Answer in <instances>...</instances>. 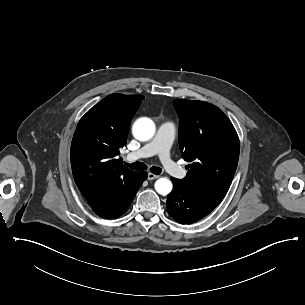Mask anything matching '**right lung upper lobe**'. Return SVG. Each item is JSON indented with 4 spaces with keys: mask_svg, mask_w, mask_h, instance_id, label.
<instances>
[{
    "mask_svg": "<svg viewBox=\"0 0 305 305\" xmlns=\"http://www.w3.org/2000/svg\"><path fill=\"white\" fill-rule=\"evenodd\" d=\"M143 98L108 95L77 125L71 144V167L75 183L90 206L129 184L137 174L115 156L126 145L130 121Z\"/></svg>",
    "mask_w": 305,
    "mask_h": 305,
    "instance_id": "obj_1",
    "label": "right lung upper lobe"
}]
</instances>
